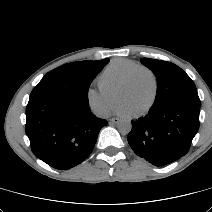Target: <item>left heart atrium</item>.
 Segmentation results:
<instances>
[{"mask_svg": "<svg viewBox=\"0 0 212 212\" xmlns=\"http://www.w3.org/2000/svg\"><path fill=\"white\" fill-rule=\"evenodd\" d=\"M114 112L119 115V116H123V117H129L131 115H133V110L132 108L126 104V103H119L115 109Z\"/></svg>", "mask_w": 212, "mask_h": 212, "instance_id": "39dd6f15", "label": "left heart atrium"}]
</instances>
